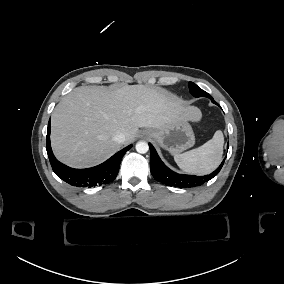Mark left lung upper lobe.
Returning a JSON list of instances; mask_svg holds the SVG:
<instances>
[{"instance_id": "1", "label": "left lung upper lobe", "mask_w": 284, "mask_h": 284, "mask_svg": "<svg viewBox=\"0 0 284 284\" xmlns=\"http://www.w3.org/2000/svg\"><path fill=\"white\" fill-rule=\"evenodd\" d=\"M189 90H190V93L194 97H207V98L211 99V101H213V98L207 92H205L204 90L200 89L193 82H189Z\"/></svg>"}]
</instances>
